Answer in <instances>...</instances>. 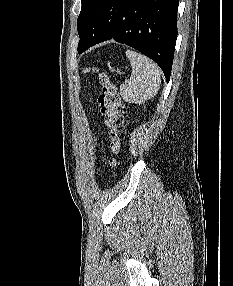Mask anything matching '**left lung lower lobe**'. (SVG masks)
<instances>
[{"instance_id":"1","label":"left lung lower lobe","mask_w":233,"mask_h":286,"mask_svg":"<svg viewBox=\"0 0 233 286\" xmlns=\"http://www.w3.org/2000/svg\"><path fill=\"white\" fill-rule=\"evenodd\" d=\"M179 0H97L80 33L78 53L114 39L154 60L167 82L177 39Z\"/></svg>"}]
</instances>
